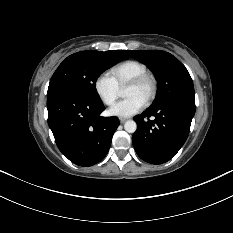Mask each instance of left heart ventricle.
Segmentation results:
<instances>
[{
	"mask_svg": "<svg viewBox=\"0 0 233 233\" xmlns=\"http://www.w3.org/2000/svg\"><path fill=\"white\" fill-rule=\"evenodd\" d=\"M149 85H143V86H127L124 90V96L129 97V96H138L141 99L145 101L148 93H149Z\"/></svg>",
	"mask_w": 233,
	"mask_h": 233,
	"instance_id": "obj_1",
	"label": "left heart ventricle"
}]
</instances>
